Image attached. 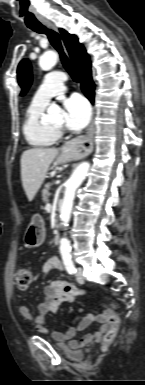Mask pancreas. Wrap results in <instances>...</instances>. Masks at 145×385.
Masks as SVG:
<instances>
[{"label": "pancreas", "instance_id": "cf45deb5", "mask_svg": "<svg viewBox=\"0 0 145 385\" xmlns=\"http://www.w3.org/2000/svg\"><path fill=\"white\" fill-rule=\"evenodd\" d=\"M49 189H50V186L49 185H46L42 191V199L45 203L48 202V198L50 196V192H49Z\"/></svg>", "mask_w": 145, "mask_h": 385}]
</instances>
